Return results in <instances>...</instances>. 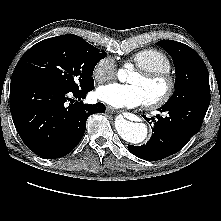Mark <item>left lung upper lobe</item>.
I'll list each match as a JSON object with an SVG mask.
<instances>
[{"mask_svg":"<svg viewBox=\"0 0 221 221\" xmlns=\"http://www.w3.org/2000/svg\"><path fill=\"white\" fill-rule=\"evenodd\" d=\"M157 44L171 55L176 69L175 92L166 104L210 95L208 70L195 50L173 40H161Z\"/></svg>","mask_w":221,"mask_h":221,"instance_id":"1","label":"left lung upper lobe"}]
</instances>
